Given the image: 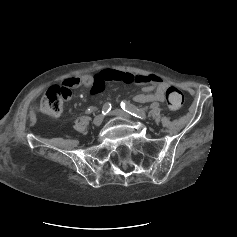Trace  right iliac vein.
<instances>
[{
  "label": "right iliac vein",
  "mask_w": 237,
  "mask_h": 237,
  "mask_svg": "<svg viewBox=\"0 0 237 237\" xmlns=\"http://www.w3.org/2000/svg\"><path fill=\"white\" fill-rule=\"evenodd\" d=\"M102 121H103V116L101 114H99V115L95 116V118L93 120V124L95 126H100Z\"/></svg>",
  "instance_id": "obj_1"
}]
</instances>
